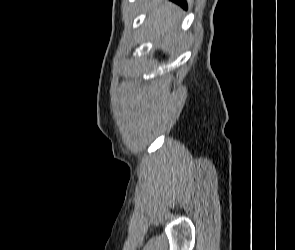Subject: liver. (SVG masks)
<instances>
[{
  "label": "liver",
  "mask_w": 295,
  "mask_h": 250,
  "mask_svg": "<svg viewBox=\"0 0 295 250\" xmlns=\"http://www.w3.org/2000/svg\"><path fill=\"white\" fill-rule=\"evenodd\" d=\"M146 12L148 13L146 24L150 34L158 41L159 46L168 51L179 40V22L176 19L178 7L171 2L152 0Z\"/></svg>",
  "instance_id": "1"
}]
</instances>
